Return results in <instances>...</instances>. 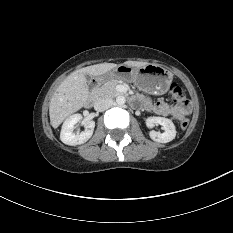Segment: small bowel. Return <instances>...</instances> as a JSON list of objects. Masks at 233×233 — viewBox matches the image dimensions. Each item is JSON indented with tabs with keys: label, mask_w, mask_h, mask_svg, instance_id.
Returning a JSON list of instances; mask_svg holds the SVG:
<instances>
[{
	"label": "small bowel",
	"mask_w": 233,
	"mask_h": 233,
	"mask_svg": "<svg viewBox=\"0 0 233 233\" xmlns=\"http://www.w3.org/2000/svg\"><path fill=\"white\" fill-rule=\"evenodd\" d=\"M144 105L147 109L153 110L158 115L171 116L178 120L182 119L190 112V105L188 102L186 105L170 106L163 101H158L156 103L145 101Z\"/></svg>",
	"instance_id": "c3829d8e"
}]
</instances>
